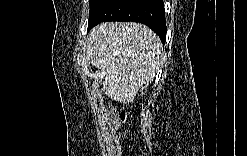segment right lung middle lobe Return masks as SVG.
I'll use <instances>...</instances> for the list:
<instances>
[{
	"label": "right lung middle lobe",
	"mask_w": 247,
	"mask_h": 156,
	"mask_svg": "<svg viewBox=\"0 0 247 156\" xmlns=\"http://www.w3.org/2000/svg\"><path fill=\"white\" fill-rule=\"evenodd\" d=\"M110 0H90V12L88 25L91 24Z\"/></svg>",
	"instance_id": "right-lung-middle-lobe-1"
}]
</instances>
